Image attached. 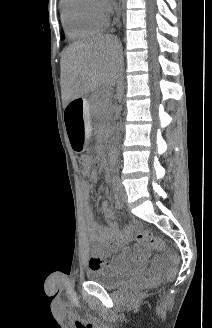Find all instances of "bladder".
I'll return each mask as SVG.
<instances>
[{
    "label": "bladder",
    "mask_w": 212,
    "mask_h": 328,
    "mask_svg": "<svg viewBox=\"0 0 212 328\" xmlns=\"http://www.w3.org/2000/svg\"><path fill=\"white\" fill-rule=\"evenodd\" d=\"M86 276L90 281L99 283L109 290H119L134 281L137 274L92 269L87 271Z\"/></svg>",
    "instance_id": "31cf9c89"
}]
</instances>
